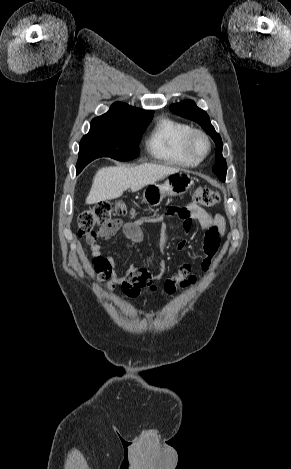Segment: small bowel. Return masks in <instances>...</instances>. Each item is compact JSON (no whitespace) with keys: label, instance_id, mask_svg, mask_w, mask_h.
<instances>
[{"label":"small bowel","instance_id":"1","mask_svg":"<svg viewBox=\"0 0 291 469\" xmlns=\"http://www.w3.org/2000/svg\"><path fill=\"white\" fill-rule=\"evenodd\" d=\"M169 214V213H168ZM178 216L183 221V229L185 232H190L192 229L193 221H197L201 228L206 231L203 241L204 258L201 262V270L207 272L216 255L220 238L224 236L226 231V222L222 215H212L210 212L204 210L196 204H188L185 207L177 210ZM166 214L152 217L140 218L134 222H124L116 219L111 221L108 226V232L101 239L110 238L117 231L122 230L125 237L133 243H141L144 238L143 226L146 224H157L164 231L166 226L164 224ZM90 249L93 259H101L107 264V268L97 271L101 280H107L109 286H120L123 293L128 297H137L141 292L147 290H154L156 284H160L164 291L168 294L174 293L177 289H187L193 287L196 282V276L191 274L192 266L189 261L183 262L177 269L174 276L161 280V277L166 269V263L161 261L158 264L156 271L150 273L146 269H140L130 266L124 274L118 272L115 262L112 257L105 256L102 251L101 245L98 241H90ZM177 248L181 251L187 249V241L180 240L177 243Z\"/></svg>","mask_w":291,"mask_h":469}]
</instances>
